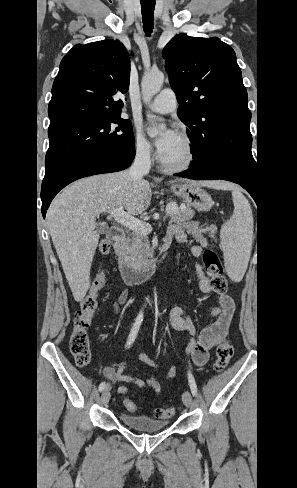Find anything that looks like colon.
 Here are the masks:
<instances>
[{"instance_id":"obj_1","label":"colon","mask_w":297,"mask_h":488,"mask_svg":"<svg viewBox=\"0 0 297 488\" xmlns=\"http://www.w3.org/2000/svg\"><path fill=\"white\" fill-rule=\"evenodd\" d=\"M111 249L109 242H102L99 245L101 255H106ZM205 271L210 279L212 289L220 294L226 292L228 283L224 275L223 265L217 254L211 250H205L203 254ZM104 283V276L101 271L97 274L91 286L89 293L81 301L79 308L73 317V332L70 338V350L79 367L86 366L90 361V335L89 327L91 325L94 313L98 306V292ZM233 355V347L229 342L222 343L216 350V359L214 369L216 372L223 371ZM125 407L131 411H136V405L126 397V393H121ZM175 413V409L157 408L154 416L157 419H169Z\"/></svg>"}]
</instances>
